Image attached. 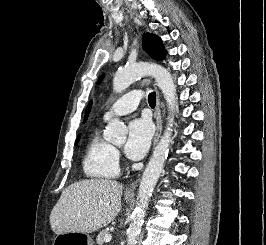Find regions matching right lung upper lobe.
I'll return each instance as SVG.
<instances>
[{
    "label": "right lung upper lobe",
    "instance_id": "right-lung-upper-lobe-1",
    "mask_svg": "<svg viewBox=\"0 0 266 245\" xmlns=\"http://www.w3.org/2000/svg\"><path fill=\"white\" fill-rule=\"evenodd\" d=\"M91 105H92V103L90 102L89 105H88V107H87V110H86V114H85L84 122L86 121V119H87V117H88V114H89L90 109H91Z\"/></svg>",
    "mask_w": 266,
    "mask_h": 245
}]
</instances>
